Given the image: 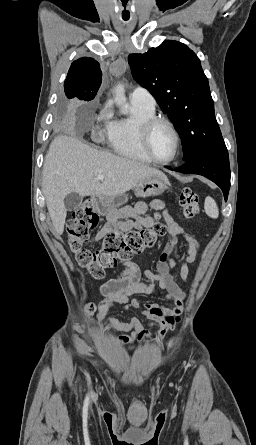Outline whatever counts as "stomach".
Segmentation results:
<instances>
[{
  "mask_svg": "<svg viewBox=\"0 0 256 445\" xmlns=\"http://www.w3.org/2000/svg\"><path fill=\"white\" fill-rule=\"evenodd\" d=\"M169 185V181L165 175L151 176L135 186L134 193L137 197L145 198L150 196L161 195ZM128 200L127 195H119L112 197L94 196L92 198L93 205L98 213L105 215L109 220H117L121 218L119 208Z\"/></svg>",
  "mask_w": 256,
  "mask_h": 445,
  "instance_id": "stomach-1",
  "label": "stomach"
}]
</instances>
